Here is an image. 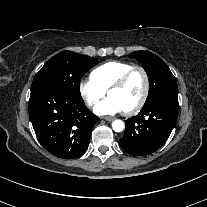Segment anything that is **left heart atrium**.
<instances>
[{
    "label": "left heart atrium",
    "instance_id": "1",
    "mask_svg": "<svg viewBox=\"0 0 207 207\" xmlns=\"http://www.w3.org/2000/svg\"><path fill=\"white\" fill-rule=\"evenodd\" d=\"M94 112L98 115H114L124 112V109L114 97L108 96L95 105Z\"/></svg>",
    "mask_w": 207,
    "mask_h": 207
}]
</instances>
